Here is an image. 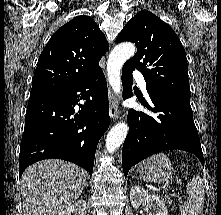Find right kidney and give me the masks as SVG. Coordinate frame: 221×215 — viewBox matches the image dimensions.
I'll return each mask as SVG.
<instances>
[{"label": "right kidney", "mask_w": 221, "mask_h": 215, "mask_svg": "<svg viewBox=\"0 0 221 215\" xmlns=\"http://www.w3.org/2000/svg\"><path fill=\"white\" fill-rule=\"evenodd\" d=\"M85 209L86 201L81 199L60 212L59 215H84Z\"/></svg>", "instance_id": "right-kidney-1"}]
</instances>
